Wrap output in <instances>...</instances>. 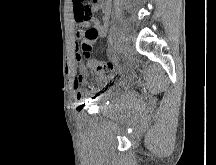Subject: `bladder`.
<instances>
[{"instance_id":"bladder-1","label":"bladder","mask_w":216,"mask_h":165,"mask_svg":"<svg viewBox=\"0 0 216 165\" xmlns=\"http://www.w3.org/2000/svg\"><path fill=\"white\" fill-rule=\"evenodd\" d=\"M112 93H113L112 89H106V91L99 96L98 101L105 102L112 95Z\"/></svg>"}]
</instances>
